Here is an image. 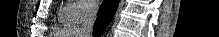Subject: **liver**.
Returning a JSON list of instances; mask_svg holds the SVG:
<instances>
[{
  "label": "liver",
  "mask_w": 219,
  "mask_h": 37,
  "mask_svg": "<svg viewBox=\"0 0 219 37\" xmlns=\"http://www.w3.org/2000/svg\"><path fill=\"white\" fill-rule=\"evenodd\" d=\"M73 35H79V34L78 33H75V34L73 33ZM77 37H81V36H77Z\"/></svg>",
  "instance_id": "6515ba94"
}]
</instances>
